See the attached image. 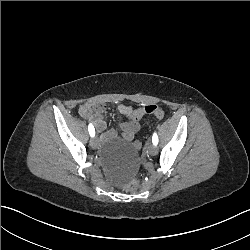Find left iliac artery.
Returning <instances> with one entry per match:
<instances>
[{"label": "left iliac artery", "instance_id": "44dca946", "mask_svg": "<svg viewBox=\"0 0 250 250\" xmlns=\"http://www.w3.org/2000/svg\"><path fill=\"white\" fill-rule=\"evenodd\" d=\"M152 142H153L154 145H157V144H158V137H157V134H156V133L153 134Z\"/></svg>", "mask_w": 250, "mask_h": 250}]
</instances>
